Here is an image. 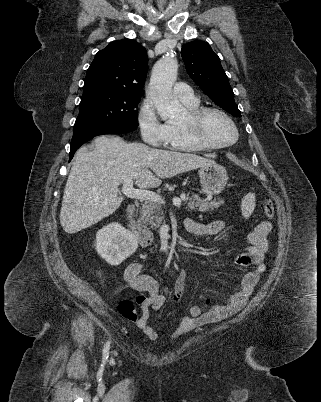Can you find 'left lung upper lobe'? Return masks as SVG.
<instances>
[{
  "instance_id": "left-lung-upper-lobe-1",
  "label": "left lung upper lobe",
  "mask_w": 321,
  "mask_h": 402,
  "mask_svg": "<svg viewBox=\"0 0 321 402\" xmlns=\"http://www.w3.org/2000/svg\"><path fill=\"white\" fill-rule=\"evenodd\" d=\"M181 55L188 74L201 90L227 112L241 116L228 77L210 45L203 41L187 43Z\"/></svg>"
}]
</instances>
